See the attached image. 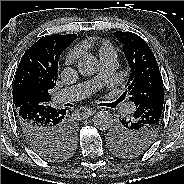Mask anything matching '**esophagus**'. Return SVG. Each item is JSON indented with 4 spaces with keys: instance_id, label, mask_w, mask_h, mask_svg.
Returning a JSON list of instances; mask_svg holds the SVG:
<instances>
[{
    "instance_id": "obj_1",
    "label": "esophagus",
    "mask_w": 184,
    "mask_h": 184,
    "mask_svg": "<svg viewBox=\"0 0 184 184\" xmlns=\"http://www.w3.org/2000/svg\"><path fill=\"white\" fill-rule=\"evenodd\" d=\"M96 112V110L92 109V108H89L85 111L82 112V115L84 117H89V116H92L94 113Z\"/></svg>"
}]
</instances>
